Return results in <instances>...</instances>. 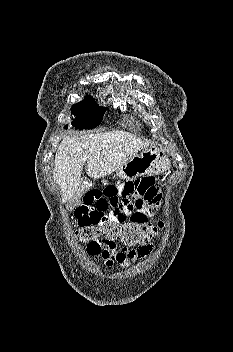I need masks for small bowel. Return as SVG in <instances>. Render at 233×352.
I'll list each match as a JSON object with an SVG mask.
<instances>
[{"label": "small bowel", "mask_w": 233, "mask_h": 352, "mask_svg": "<svg viewBox=\"0 0 233 352\" xmlns=\"http://www.w3.org/2000/svg\"><path fill=\"white\" fill-rule=\"evenodd\" d=\"M79 196L80 201L74 212L78 226L92 220L99 225L108 221L137 225L149 223L152 222L161 200L155 179L150 176L102 189L96 187L92 181L84 180ZM150 251V246L119 247L116 240L99 241L86 247L89 256L100 257L106 266H127L130 261L142 258Z\"/></svg>", "instance_id": "1"}]
</instances>
